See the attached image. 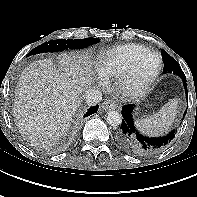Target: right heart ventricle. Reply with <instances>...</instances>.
I'll use <instances>...</instances> for the list:
<instances>
[{"instance_id":"1","label":"right heart ventricle","mask_w":197,"mask_h":197,"mask_svg":"<svg viewBox=\"0 0 197 197\" xmlns=\"http://www.w3.org/2000/svg\"><path fill=\"white\" fill-rule=\"evenodd\" d=\"M148 51L147 47L134 43L106 50L97 58V72L106 80L119 79L135 58Z\"/></svg>"}]
</instances>
